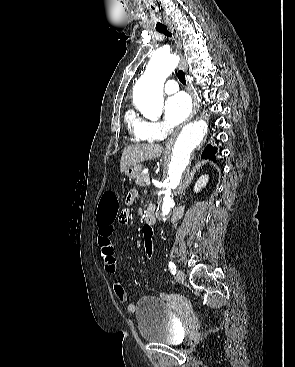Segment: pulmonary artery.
I'll return each instance as SVG.
<instances>
[{
    "label": "pulmonary artery",
    "instance_id": "1",
    "mask_svg": "<svg viewBox=\"0 0 295 367\" xmlns=\"http://www.w3.org/2000/svg\"><path fill=\"white\" fill-rule=\"evenodd\" d=\"M178 90H179V86H178V84L175 80H168L165 83L164 91L167 94H173V93L177 92Z\"/></svg>",
    "mask_w": 295,
    "mask_h": 367
}]
</instances>
